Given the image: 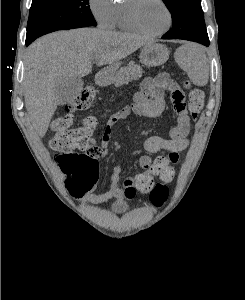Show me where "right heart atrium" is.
Segmentation results:
<instances>
[{
  "mask_svg": "<svg viewBox=\"0 0 245 300\" xmlns=\"http://www.w3.org/2000/svg\"><path fill=\"white\" fill-rule=\"evenodd\" d=\"M89 9L97 24L111 28L114 23L115 4L113 0H89Z\"/></svg>",
  "mask_w": 245,
  "mask_h": 300,
  "instance_id": "right-heart-atrium-1",
  "label": "right heart atrium"
}]
</instances>
